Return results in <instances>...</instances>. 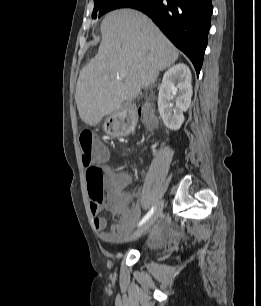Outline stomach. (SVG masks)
I'll return each mask as SVG.
<instances>
[{"label":"stomach","mask_w":261,"mask_h":306,"mask_svg":"<svg viewBox=\"0 0 261 306\" xmlns=\"http://www.w3.org/2000/svg\"><path fill=\"white\" fill-rule=\"evenodd\" d=\"M136 125V118L128 112H119L115 117V126L113 133L117 136H123L131 133Z\"/></svg>","instance_id":"1"}]
</instances>
